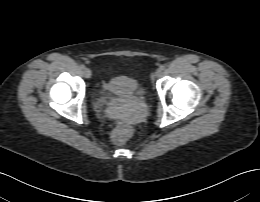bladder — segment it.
I'll return each mask as SVG.
<instances>
[{
	"label": "bladder",
	"mask_w": 260,
	"mask_h": 202,
	"mask_svg": "<svg viewBox=\"0 0 260 202\" xmlns=\"http://www.w3.org/2000/svg\"><path fill=\"white\" fill-rule=\"evenodd\" d=\"M105 93L121 97H131L144 93V87L140 82L129 76H119L112 79L103 89Z\"/></svg>",
	"instance_id": "bladder-1"
}]
</instances>
